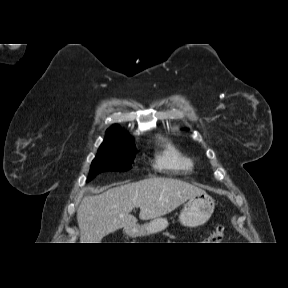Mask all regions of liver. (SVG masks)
<instances>
[{
    "mask_svg": "<svg viewBox=\"0 0 288 288\" xmlns=\"http://www.w3.org/2000/svg\"><path fill=\"white\" fill-rule=\"evenodd\" d=\"M202 191L179 179L152 177L85 196L77 209L80 241L100 243L109 233L137 226V218L131 214L136 207L141 220L156 219Z\"/></svg>",
    "mask_w": 288,
    "mask_h": 288,
    "instance_id": "obj_1",
    "label": "liver"
}]
</instances>
